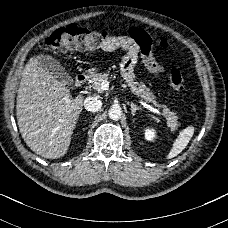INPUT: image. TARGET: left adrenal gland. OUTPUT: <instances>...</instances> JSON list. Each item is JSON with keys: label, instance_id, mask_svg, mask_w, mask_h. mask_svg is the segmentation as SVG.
Masks as SVG:
<instances>
[{"label": "left adrenal gland", "instance_id": "left-adrenal-gland-1", "mask_svg": "<svg viewBox=\"0 0 228 228\" xmlns=\"http://www.w3.org/2000/svg\"><path fill=\"white\" fill-rule=\"evenodd\" d=\"M128 105H130V107H131V113H132V115H135V112L137 111V110H139L140 108L137 106V105H135L133 102H131V103H127Z\"/></svg>", "mask_w": 228, "mask_h": 228}]
</instances>
